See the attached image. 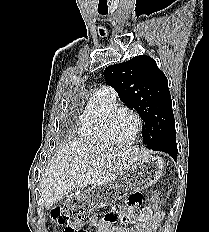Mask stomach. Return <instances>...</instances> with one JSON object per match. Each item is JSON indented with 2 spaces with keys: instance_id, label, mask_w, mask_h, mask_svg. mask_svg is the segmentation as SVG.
Wrapping results in <instances>:
<instances>
[{
  "instance_id": "1",
  "label": "stomach",
  "mask_w": 209,
  "mask_h": 232,
  "mask_svg": "<svg viewBox=\"0 0 209 232\" xmlns=\"http://www.w3.org/2000/svg\"><path fill=\"white\" fill-rule=\"evenodd\" d=\"M164 164L159 156L143 158L128 170L119 171V176H113L111 182H101V186H90L84 194L67 198L63 214H70L74 221H89L87 214H94L96 208L116 203V199H126L132 190L153 185L162 176Z\"/></svg>"
}]
</instances>
